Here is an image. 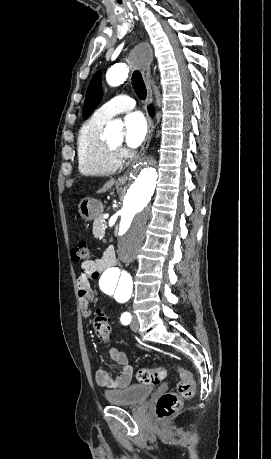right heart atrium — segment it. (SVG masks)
<instances>
[{"instance_id":"right-heart-atrium-1","label":"right heart atrium","mask_w":271,"mask_h":459,"mask_svg":"<svg viewBox=\"0 0 271 459\" xmlns=\"http://www.w3.org/2000/svg\"><path fill=\"white\" fill-rule=\"evenodd\" d=\"M118 155L121 157H126L128 155V152L125 149H120Z\"/></svg>"}]
</instances>
